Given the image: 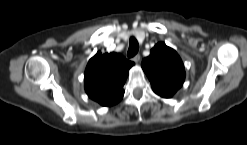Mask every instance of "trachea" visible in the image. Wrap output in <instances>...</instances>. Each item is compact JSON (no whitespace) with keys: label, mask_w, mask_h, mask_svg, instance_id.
Segmentation results:
<instances>
[{"label":"trachea","mask_w":247,"mask_h":145,"mask_svg":"<svg viewBox=\"0 0 247 145\" xmlns=\"http://www.w3.org/2000/svg\"><path fill=\"white\" fill-rule=\"evenodd\" d=\"M138 50H139V44L137 40L134 37H131L129 43V49L127 52L128 57L129 58L134 57L137 54Z\"/></svg>","instance_id":"1"}]
</instances>
